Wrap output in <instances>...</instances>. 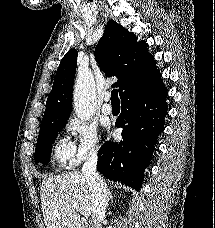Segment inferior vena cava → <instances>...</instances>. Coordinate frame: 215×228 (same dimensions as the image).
<instances>
[{
    "instance_id": "obj_1",
    "label": "inferior vena cava",
    "mask_w": 215,
    "mask_h": 228,
    "mask_svg": "<svg viewBox=\"0 0 215 228\" xmlns=\"http://www.w3.org/2000/svg\"><path fill=\"white\" fill-rule=\"evenodd\" d=\"M98 150L94 148L82 166V174L92 190V226L99 228L101 220L105 218L108 188L97 172Z\"/></svg>"
}]
</instances>
